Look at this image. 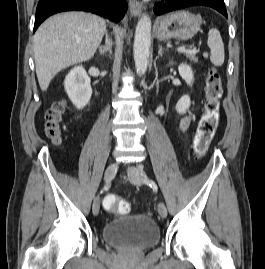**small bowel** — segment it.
Wrapping results in <instances>:
<instances>
[{"instance_id":"c3829d8e","label":"small bowel","mask_w":265,"mask_h":269,"mask_svg":"<svg viewBox=\"0 0 265 269\" xmlns=\"http://www.w3.org/2000/svg\"><path fill=\"white\" fill-rule=\"evenodd\" d=\"M190 122H191L190 116L183 118L180 122V130L185 131L189 127Z\"/></svg>"}]
</instances>
